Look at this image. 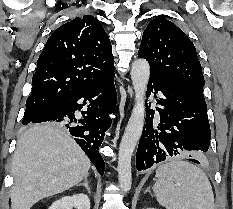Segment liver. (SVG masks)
Wrapping results in <instances>:
<instances>
[{
    "label": "liver",
    "mask_w": 233,
    "mask_h": 209,
    "mask_svg": "<svg viewBox=\"0 0 233 209\" xmlns=\"http://www.w3.org/2000/svg\"><path fill=\"white\" fill-rule=\"evenodd\" d=\"M91 162L66 129L33 125L17 141L12 160L11 208L30 209L39 200L77 185Z\"/></svg>",
    "instance_id": "obj_1"
}]
</instances>
